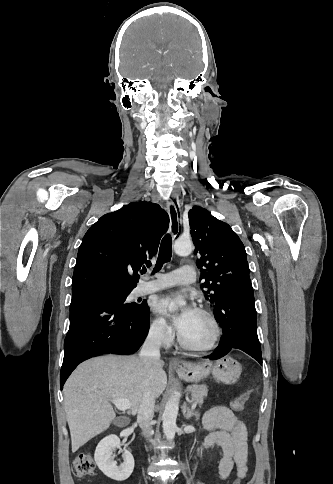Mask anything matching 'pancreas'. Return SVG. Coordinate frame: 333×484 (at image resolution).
<instances>
[{"mask_svg":"<svg viewBox=\"0 0 333 484\" xmlns=\"http://www.w3.org/2000/svg\"><path fill=\"white\" fill-rule=\"evenodd\" d=\"M187 391L191 394L192 401L201 405L204 398L207 397L208 387L206 385H192L187 387Z\"/></svg>","mask_w":333,"mask_h":484,"instance_id":"obj_1","label":"pancreas"}]
</instances>
